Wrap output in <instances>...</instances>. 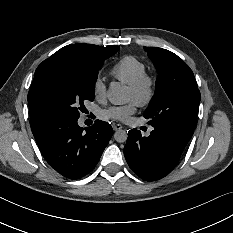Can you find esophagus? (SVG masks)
I'll return each instance as SVG.
<instances>
[{
    "label": "esophagus",
    "mask_w": 233,
    "mask_h": 233,
    "mask_svg": "<svg viewBox=\"0 0 233 233\" xmlns=\"http://www.w3.org/2000/svg\"><path fill=\"white\" fill-rule=\"evenodd\" d=\"M112 127H113L114 131H118V130L123 128V126L121 124H117V123L113 124Z\"/></svg>",
    "instance_id": "esophagus-1"
}]
</instances>
